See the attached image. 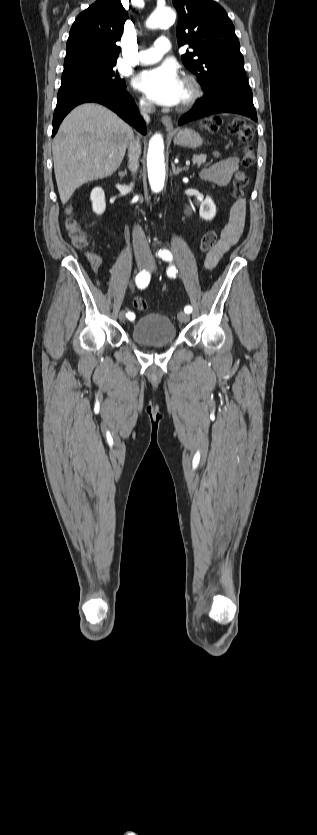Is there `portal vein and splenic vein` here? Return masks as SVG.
Listing matches in <instances>:
<instances>
[{"instance_id": "18ae733b", "label": "portal vein and splenic vein", "mask_w": 317, "mask_h": 835, "mask_svg": "<svg viewBox=\"0 0 317 835\" xmlns=\"http://www.w3.org/2000/svg\"><path fill=\"white\" fill-rule=\"evenodd\" d=\"M111 156H112V155H110V157H111ZM193 163H194V160H193ZM186 165H190V161H189V160H187V161H186Z\"/></svg>"}]
</instances>
